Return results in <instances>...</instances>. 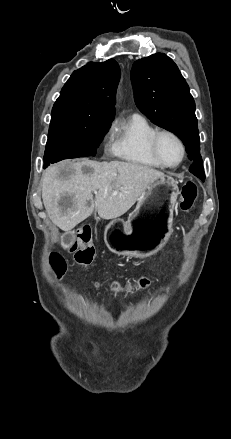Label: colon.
Returning <instances> with one entry per match:
<instances>
[{"label":"colon","instance_id":"1","mask_svg":"<svg viewBox=\"0 0 231 439\" xmlns=\"http://www.w3.org/2000/svg\"><path fill=\"white\" fill-rule=\"evenodd\" d=\"M196 198V186L192 182H188L182 190V196L180 199V208L183 211H188ZM71 252H74L75 261L81 266H88L92 263L95 257V249L92 244V231L89 226L81 228L75 237V240L70 248ZM50 265L53 269L56 278H61L66 271V263L64 259L58 254H52L50 256ZM149 281L146 278H142L138 281L130 282L127 284H121L114 281L110 284V288L113 292H130L137 288L145 287Z\"/></svg>","mask_w":231,"mask_h":439}]
</instances>
